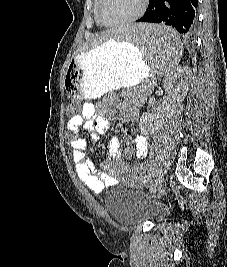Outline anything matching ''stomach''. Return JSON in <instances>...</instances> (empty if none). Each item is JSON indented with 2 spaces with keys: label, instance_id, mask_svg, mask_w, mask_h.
Wrapping results in <instances>:
<instances>
[{
  "label": "stomach",
  "instance_id": "obj_1",
  "mask_svg": "<svg viewBox=\"0 0 227 267\" xmlns=\"http://www.w3.org/2000/svg\"><path fill=\"white\" fill-rule=\"evenodd\" d=\"M150 67L139 47L112 38L76 55L61 83L68 96L96 99L112 89L136 86L147 78Z\"/></svg>",
  "mask_w": 227,
  "mask_h": 267
}]
</instances>
